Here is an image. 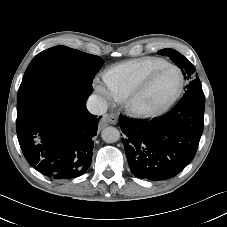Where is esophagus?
Wrapping results in <instances>:
<instances>
[{"instance_id": "obj_1", "label": "esophagus", "mask_w": 227, "mask_h": 227, "mask_svg": "<svg viewBox=\"0 0 227 227\" xmlns=\"http://www.w3.org/2000/svg\"><path fill=\"white\" fill-rule=\"evenodd\" d=\"M108 122L111 124H116L118 121V116L116 114H110L107 118Z\"/></svg>"}]
</instances>
